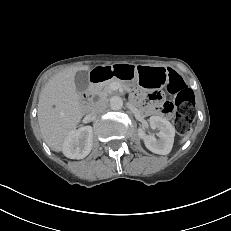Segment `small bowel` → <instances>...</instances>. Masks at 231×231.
Here are the masks:
<instances>
[{
	"label": "small bowel",
	"mask_w": 231,
	"mask_h": 231,
	"mask_svg": "<svg viewBox=\"0 0 231 231\" xmlns=\"http://www.w3.org/2000/svg\"><path fill=\"white\" fill-rule=\"evenodd\" d=\"M156 100L158 101H161V98L160 97H155Z\"/></svg>",
	"instance_id": "small-bowel-1"
}]
</instances>
